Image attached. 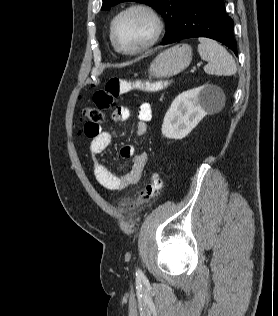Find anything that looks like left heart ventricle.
<instances>
[{
    "label": "left heart ventricle",
    "instance_id": "left-heart-ventricle-1",
    "mask_svg": "<svg viewBox=\"0 0 278 316\" xmlns=\"http://www.w3.org/2000/svg\"><path fill=\"white\" fill-rule=\"evenodd\" d=\"M152 23L142 13H131L116 24L115 38L123 49H133L144 43L151 35Z\"/></svg>",
    "mask_w": 278,
    "mask_h": 316
}]
</instances>
